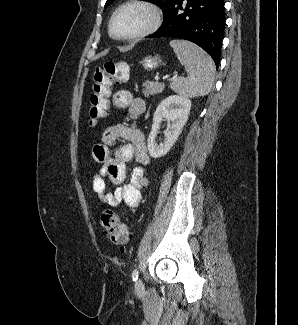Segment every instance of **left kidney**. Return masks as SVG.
I'll list each match as a JSON object with an SVG mask.
<instances>
[{"instance_id": "obj_1", "label": "left kidney", "mask_w": 298, "mask_h": 325, "mask_svg": "<svg viewBox=\"0 0 298 325\" xmlns=\"http://www.w3.org/2000/svg\"><path fill=\"white\" fill-rule=\"evenodd\" d=\"M191 110L190 98H184L179 94H171L166 96L158 104L153 114L152 130L147 138V146L150 156L160 158L167 154L175 140H177ZM162 120H170V130L164 132V140L160 144H156V136Z\"/></svg>"}]
</instances>
